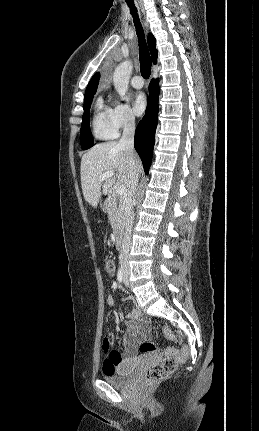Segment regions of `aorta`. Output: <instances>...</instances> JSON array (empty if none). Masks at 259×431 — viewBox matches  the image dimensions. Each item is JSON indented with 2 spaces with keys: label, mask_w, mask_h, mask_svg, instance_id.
<instances>
[{
  "label": "aorta",
  "mask_w": 259,
  "mask_h": 431,
  "mask_svg": "<svg viewBox=\"0 0 259 431\" xmlns=\"http://www.w3.org/2000/svg\"><path fill=\"white\" fill-rule=\"evenodd\" d=\"M133 64L126 60L120 63L113 74V84L115 90L123 98L128 91L129 78L132 73Z\"/></svg>",
  "instance_id": "aorta-1"
}]
</instances>
